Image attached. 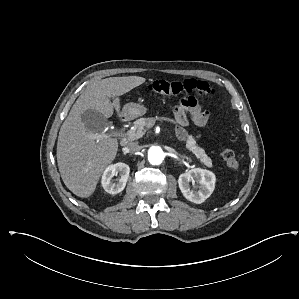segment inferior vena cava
Listing matches in <instances>:
<instances>
[{
    "label": "inferior vena cava",
    "instance_id": "obj_1",
    "mask_svg": "<svg viewBox=\"0 0 299 299\" xmlns=\"http://www.w3.org/2000/svg\"><path fill=\"white\" fill-rule=\"evenodd\" d=\"M127 150L130 153H137L141 150V147L137 143L131 142L127 145Z\"/></svg>",
    "mask_w": 299,
    "mask_h": 299
}]
</instances>
